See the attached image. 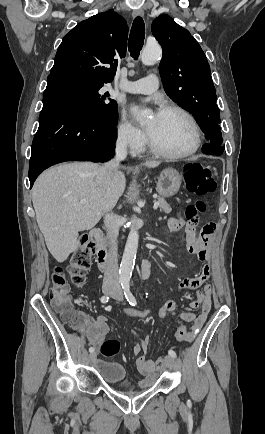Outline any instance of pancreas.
Masks as SVG:
<instances>
[{"label": "pancreas", "mask_w": 265, "mask_h": 434, "mask_svg": "<svg viewBox=\"0 0 265 434\" xmlns=\"http://www.w3.org/2000/svg\"><path fill=\"white\" fill-rule=\"evenodd\" d=\"M157 200L159 202L160 212H171V208L169 204H167L166 200H164V198L158 196Z\"/></svg>", "instance_id": "pancreas-1"}]
</instances>
